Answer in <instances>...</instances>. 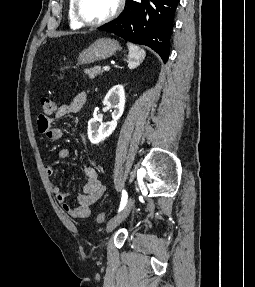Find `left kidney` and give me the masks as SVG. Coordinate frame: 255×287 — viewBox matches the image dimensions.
I'll return each instance as SVG.
<instances>
[{
  "label": "left kidney",
  "mask_w": 255,
  "mask_h": 287,
  "mask_svg": "<svg viewBox=\"0 0 255 287\" xmlns=\"http://www.w3.org/2000/svg\"><path fill=\"white\" fill-rule=\"evenodd\" d=\"M104 106L106 108H112V122H100L96 118H91L88 122V138L91 144H99L106 140L108 136H111L115 128H117V122L123 116L125 108V90L121 84L113 86L109 92H107L104 100Z\"/></svg>",
  "instance_id": "left-kidney-1"
}]
</instances>
